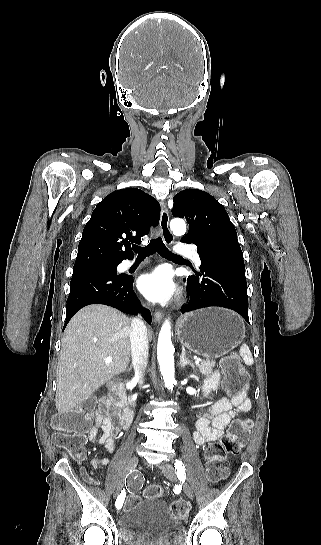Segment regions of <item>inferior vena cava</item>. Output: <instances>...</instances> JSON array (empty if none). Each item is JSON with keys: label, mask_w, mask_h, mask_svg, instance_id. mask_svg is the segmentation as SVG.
Masks as SVG:
<instances>
[{"label": "inferior vena cava", "mask_w": 321, "mask_h": 545, "mask_svg": "<svg viewBox=\"0 0 321 545\" xmlns=\"http://www.w3.org/2000/svg\"><path fill=\"white\" fill-rule=\"evenodd\" d=\"M131 355L134 371L139 377V385H144V373L148 365V337L146 325H144L142 319H132L131 321Z\"/></svg>", "instance_id": "inferior-vena-cava-1"}]
</instances>
